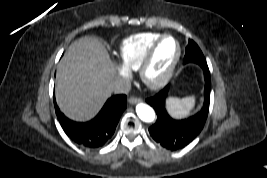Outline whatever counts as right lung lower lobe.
Listing matches in <instances>:
<instances>
[{"mask_svg":"<svg viewBox=\"0 0 267 178\" xmlns=\"http://www.w3.org/2000/svg\"><path fill=\"white\" fill-rule=\"evenodd\" d=\"M55 111L66 135L76 144L87 148L103 146L114 134L121 114L127 106L125 95H114L107 100L97 116L88 122H75L68 119L58 108Z\"/></svg>","mask_w":267,"mask_h":178,"instance_id":"right-lung-lower-lobe-1","label":"right lung lower lobe"}]
</instances>
